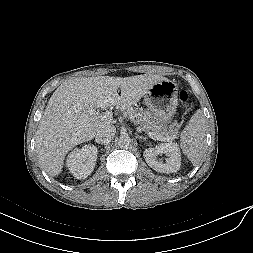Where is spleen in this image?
I'll use <instances>...</instances> for the list:
<instances>
[{
  "label": "spleen",
  "instance_id": "1",
  "mask_svg": "<svg viewBox=\"0 0 253 253\" xmlns=\"http://www.w3.org/2000/svg\"><path fill=\"white\" fill-rule=\"evenodd\" d=\"M206 125L202 110L198 109L181 133V149L194 166L201 163L205 152Z\"/></svg>",
  "mask_w": 253,
  "mask_h": 253
}]
</instances>
